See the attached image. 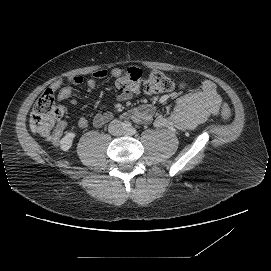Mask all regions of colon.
<instances>
[{
  "label": "colon",
  "instance_id": "obj_1",
  "mask_svg": "<svg viewBox=\"0 0 271 271\" xmlns=\"http://www.w3.org/2000/svg\"><path fill=\"white\" fill-rule=\"evenodd\" d=\"M117 87L121 91L132 94L155 95L172 90L173 82L160 71H151L144 77L139 68L130 67L118 79ZM219 110L224 120L229 121L232 118L231 109L226 103L222 102ZM62 116L63 109L56 104L54 91L47 88L35 102L31 114V124L37 132L49 136L54 130L55 133L62 130Z\"/></svg>",
  "mask_w": 271,
  "mask_h": 271
}]
</instances>
